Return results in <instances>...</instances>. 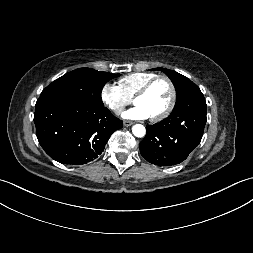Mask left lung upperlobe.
<instances>
[{
    "mask_svg": "<svg viewBox=\"0 0 253 253\" xmlns=\"http://www.w3.org/2000/svg\"><path fill=\"white\" fill-rule=\"evenodd\" d=\"M151 70H161L166 73V75L171 79L177 93L176 104L179 103L182 98L188 93V91L195 86V84L191 80L177 73L176 71L168 70L165 68H155Z\"/></svg>",
    "mask_w": 253,
    "mask_h": 253,
    "instance_id": "1",
    "label": "left lung upper lobe"
}]
</instances>
